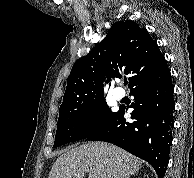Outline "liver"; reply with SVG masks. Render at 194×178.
I'll return each instance as SVG.
<instances>
[{"instance_id":"1","label":"liver","mask_w":194,"mask_h":178,"mask_svg":"<svg viewBox=\"0 0 194 178\" xmlns=\"http://www.w3.org/2000/svg\"><path fill=\"white\" fill-rule=\"evenodd\" d=\"M142 161L123 149L104 142H90L70 149L57 158L48 178H127Z\"/></svg>"}]
</instances>
